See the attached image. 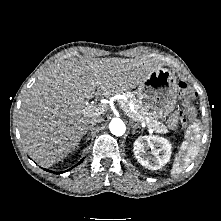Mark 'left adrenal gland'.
<instances>
[{
	"instance_id": "obj_1",
	"label": "left adrenal gland",
	"mask_w": 221,
	"mask_h": 221,
	"mask_svg": "<svg viewBox=\"0 0 221 221\" xmlns=\"http://www.w3.org/2000/svg\"><path fill=\"white\" fill-rule=\"evenodd\" d=\"M131 127H132L133 134L136 133V129L141 128L138 124H134L133 122H131Z\"/></svg>"
}]
</instances>
